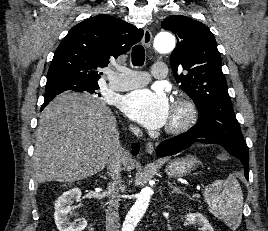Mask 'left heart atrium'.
<instances>
[{
    "instance_id": "39dd6f15",
    "label": "left heart atrium",
    "mask_w": 268,
    "mask_h": 231,
    "mask_svg": "<svg viewBox=\"0 0 268 231\" xmlns=\"http://www.w3.org/2000/svg\"><path fill=\"white\" fill-rule=\"evenodd\" d=\"M125 114L149 129L165 125L170 116V105L161 89H140L126 95L122 101Z\"/></svg>"
}]
</instances>
